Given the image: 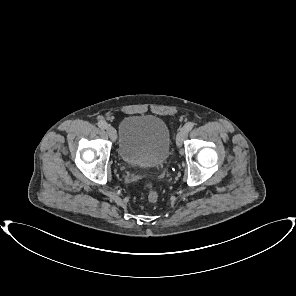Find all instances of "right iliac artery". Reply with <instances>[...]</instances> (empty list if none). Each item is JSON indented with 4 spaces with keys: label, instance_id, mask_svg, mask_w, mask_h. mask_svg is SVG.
Segmentation results:
<instances>
[{
    "label": "right iliac artery",
    "instance_id": "right-iliac-artery-1",
    "mask_svg": "<svg viewBox=\"0 0 296 296\" xmlns=\"http://www.w3.org/2000/svg\"><path fill=\"white\" fill-rule=\"evenodd\" d=\"M98 126L101 128V129H106L108 127L107 123L104 121V120H100L98 122Z\"/></svg>",
    "mask_w": 296,
    "mask_h": 296
}]
</instances>
